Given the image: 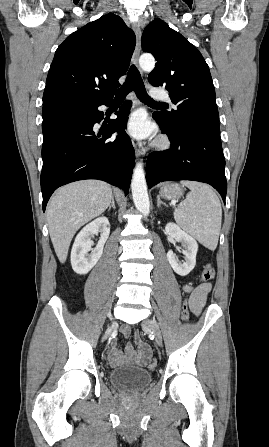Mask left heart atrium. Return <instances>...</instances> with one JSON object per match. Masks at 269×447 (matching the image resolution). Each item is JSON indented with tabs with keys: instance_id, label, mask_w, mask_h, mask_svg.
<instances>
[{
	"instance_id": "39dd6f15",
	"label": "left heart atrium",
	"mask_w": 269,
	"mask_h": 447,
	"mask_svg": "<svg viewBox=\"0 0 269 447\" xmlns=\"http://www.w3.org/2000/svg\"><path fill=\"white\" fill-rule=\"evenodd\" d=\"M126 131L136 139L151 137L155 134V127L149 122L142 111L132 112L125 123Z\"/></svg>"
}]
</instances>
